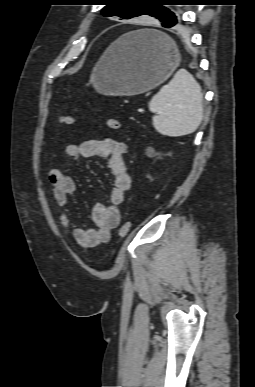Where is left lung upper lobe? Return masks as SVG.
<instances>
[{
  "label": "left lung upper lobe",
  "instance_id": "5c2ea615",
  "mask_svg": "<svg viewBox=\"0 0 255 387\" xmlns=\"http://www.w3.org/2000/svg\"><path fill=\"white\" fill-rule=\"evenodd\" d=\"M106 7L102 14L106 17L118 16L123 19H130L141 15H151L158 18L163 24L168 23L177 16L169 9L161 6V0H105ZM162 24V25H163Z\"/></svg>",
  "mask_w": 255,
  "mask_h": 387
}]
</instances>
